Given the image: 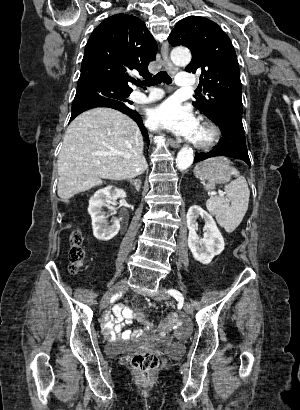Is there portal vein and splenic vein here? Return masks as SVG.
<instances>
[{
  "instance_id": "1",
  "label": "portal vein and splenic vein",
  "mask_w": 300,
  "mask_h": 410,
  "mask_svg": "<svg viewBox=\"0 0 300 410\" xmlns=\"http://www.w3.org/2000/svg\"><path fill=\"white\" fill-rule=\"evenodd\" d=\"M219 194H220L221 196H224V193H223V192H220Z\"/></svg>"
}]
</instances>
